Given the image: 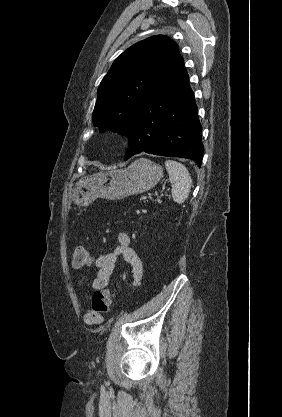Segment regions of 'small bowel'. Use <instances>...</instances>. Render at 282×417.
Wrapping results in <instances>:
<instances>
[{"label": "small bowel", "instance_id": "small-bowel-1", "mask_svg": "<svg viewBox=\"0 0 282 417\" xmlns=\"http://www.w3.org/2000/svg\"><path fill=\"white\" fill-rule=\"evenodd\" d=\"M120 258H123L132 269V286L138 287L144 276V267L142 260L136 251L130 246V237L126 232L117 233V245L115 248L105 254H101L91 261L92 266L97 270L93 280L92 287L94 290H103L109 282L110 276L114 271ZM84 322L87 325H99L103 322V316L88 310L84 314Z\"/></svg>", "mask_w": 282, "mask_h": 417}]
</instances>
